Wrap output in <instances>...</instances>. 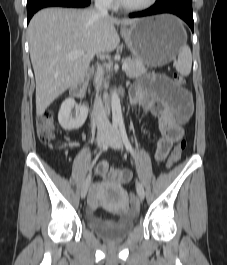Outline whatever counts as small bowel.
<instances>
[{
	"label": "small bowel",
	"instance_id": "small-bowel-1",
	"mask_svg": "<svg viewBox=\"0 0 227 265\" xmlns=\"http://www.w3.org/2000/svg\"><path fill=\"white\" fill-rule=\"evenodd\" d=\"M147 76L133 87L131 101L144 114L158 119L161 136L157 141L155 160L162 162L172 144L183 137V125L193 113V103L189 92L167 76L153 72H148ZM98 172L117 185L126 184L132 179L130 170L113 169L106 163L100 165ZM97 202L98 196L93 192L89 198L91 210Z\"/></svg>",
	"mask_w": 227,
	"mask_h": 265
}]
</instances>
